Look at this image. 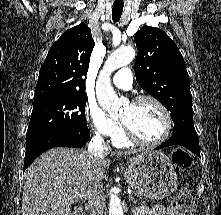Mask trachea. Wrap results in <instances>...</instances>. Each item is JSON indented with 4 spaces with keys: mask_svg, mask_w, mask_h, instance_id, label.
<instances>
[{
    "mask_svg": "<svg viewBox=\"0 0 221 215\" xmlns=\"http://www.w3.org/2000/svg\"><path fill=\"white\" fill-rule=\"evenodd\" d=\"M123 7H124V4L113 3L112 20L114 22H118L120 20L122 12H123Z\"/></svg>",
    "mask_w": 221,
    "mask_h": 215,
    "instance_id": "trachea-1",
    "label": "trachea"
}]
</instances>
